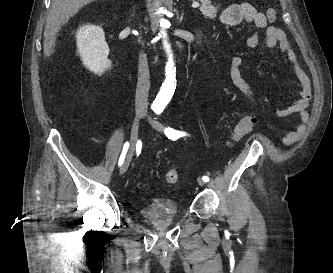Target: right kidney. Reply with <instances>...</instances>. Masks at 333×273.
<instances>
[{
	"mask_svg": "<svg viewBox=\"0 0 333 273\" xmlns=\"http://www.w3.org/2000/svg\"><path fill=\"white\" fill-rule=\"evenodd\" d=\"M76 38L78 53L87 69L98 75L110 69L109 47L100 26L85 25L77 31Z\"/></svg>",
	"mask_w": 333,
	"mask_h": 273,
	"instance_id": "ca27d5eb",
	"label": "right kidney"
}]
</instances>
